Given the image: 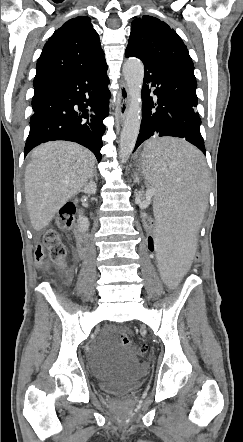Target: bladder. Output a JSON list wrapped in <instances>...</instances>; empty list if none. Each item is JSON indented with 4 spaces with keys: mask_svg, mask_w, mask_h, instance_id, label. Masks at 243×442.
<instances>
[{
    "mask_svg": "<svg viewBox=\"0 0 243 442\" xmlns=\"http://www.w3.org/2000/svg\"><path fill=\"white\" fill-rule=\"evenodd\" d=\"M145 371L143 364L131 353H121L114 368H105L99 363L96 374L100 391L112 395H124L139 387Z\"/></svg>",
    "mask_w": 243,
    "mask_h": 442,
    "instance_id": "1",
    "label": "bladder"
}]
</instances>
